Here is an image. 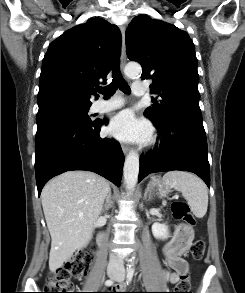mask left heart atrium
I'll use <instances>...</instances> for the list:
<instances>
[{
    "label": "left heart atrium",
    "instance_id": "left-heart-atrium-1",
    "mask_svg": "<svg viewBox=\"0 0 245 293\" xmlns=\"http://www.w3.org/2000/svg\"><path fill=\"white\" fill-rule=\"evenodd\" d=\"M150 131V125L137 119L129 110L114 116L108 126V133L122 141H145L149 138Z\"/></svg>",
    "mask_w": 245,
    "mask_h": 293
}]
</instances>
